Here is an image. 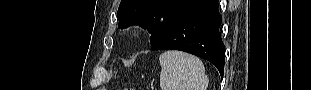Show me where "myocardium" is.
<instances>
[{
  "label": "myocardium",
  "instance_id": "myocardium-1",
  "mask_svg": "<svg viewBox=\"0 0 311 90\" xmlns=\"http://www.w3.org/2000/svg\"><path fill=\"white\" fill-rule=\"evenodd\" d=\"M137 32H138L137 29H133V30L131 31L132 34H136Z\"/></svg>",
  "mask_w": 311,
  "mask_h": 90
}]
</instances>
